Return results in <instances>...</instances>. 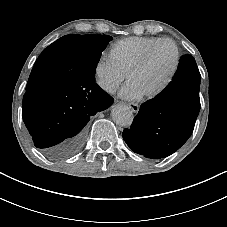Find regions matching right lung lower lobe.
Listing matches in <instances>:
<instances>
[{"mask_svg":"<svg viewBox=\"0 0 227 227\" xmlns=\"http://www.w3.org/2000/svg\"><path fill=\"white\" fill-rule=\"evenodd\" d=\"M113 101L95 81L51 77L24 94L23 121L45 157L65 159L81 149L90 118Z\"/></svg>","mask_w":227,"mask_h":227,"instance_id":"right-lung-lower-lobe-1","label":"right lung lower lobe"}]
</instances>
